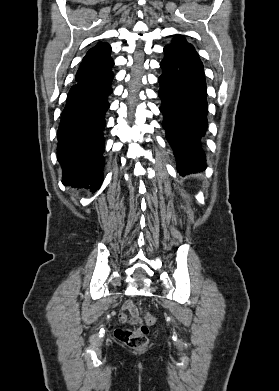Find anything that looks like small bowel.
Masks as SVG:
<instances>
[{
	"label": "small bowel",
	"mask_w": 279,
	"mask_h": 391,
	"mask_svg": "<svg viewBox=\"0 0 279 391\" xmlns=\"http://www.w3.org/2000/svg\"><path fill=\"white\" fill-rule=\"evenodd\" d=\"M119 319L121 322L130 325H136L142 322L139 309L130 300L123 303L122 310L119 313Z\"/></svg>",
	"instance_id": "small-bowel-1"
}]
</instances>
